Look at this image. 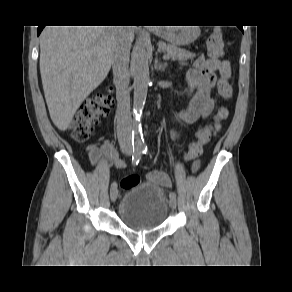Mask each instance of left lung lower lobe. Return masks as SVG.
<instances>
[{"label":"left lung lower lobe","mask_w":292,"mask_h":292,"mask_svg":"<svg viewBox=\"0 0 292 292\" xmlns=\"http://www.w3.org/2000/svg\"><path fill=\"white\" fill-rule=\"evenodd\" d=\"M238 27H239V29L242 30V32H243V27H242V26H238Z\"/></svg>","instance_id":"left-lung-lower-lobe-1"}]
</instances>
